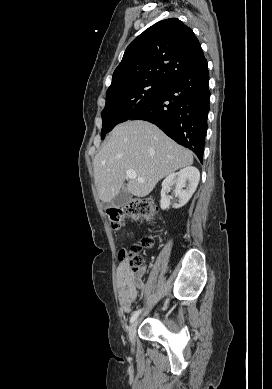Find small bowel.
Returning <instances> with one entry per match:
<instances>
[{
	"instance_id": "c3829d8e",
	"label": "small bowel",
	"mask_w": 272,
	"mask_h": 389,
	"mask_svg": "<svg viewBox=\"0 0 272 389\" xmlns=\"http://www.w3.org/2000/svg\"><path fill=\"white\" fill-rule=\"evenodd\" d=\"M145 272V267L138 270H131L125 261H122L117 268V287L119 301L122 310L125 313L131 311L132 304L135 302L138 292L144 288L141 280Z\"/></svg>"
}]
</instances>
